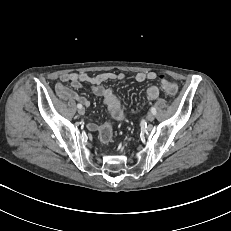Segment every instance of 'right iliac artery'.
Instances as JSON below:
<instances>
[{
	"instance_id": "1",
	"label": "right iliac artery",
	"mask_w": 231,
	"mask_h": 231,
	"mask_svg": "<svg viewBox=\"0 0 231 231\" xmlns=\"http://www.w3.org/2000/svg\"><path fill=\"white\" fill-rule=\"evenodd\" d=\"M77 107H78V108H82V105H81V104H77Z\"/></svg>"
}]
</instances>
